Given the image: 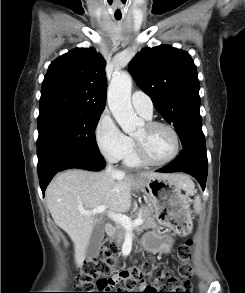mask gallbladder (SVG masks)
<instances>
[{
  "label": "gallbladder",
  "instance_id": "obj_1",
  "mask_svg": "<svg viewBox=\"0 0 245 293\" xmlns=\"http://www.w3.org/2000/svg\"><path fill=\"white\" fill-rule=\"evenodd\" d=\"M104 225L103 223H97L90 236V240L86 249V258L92 260L99 254L102 241L104 239Z\"/></svg>",
  "mask_w": 245,
  "mask_h": 293
}]
</instances>
